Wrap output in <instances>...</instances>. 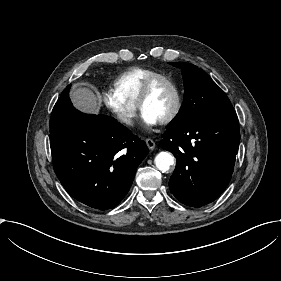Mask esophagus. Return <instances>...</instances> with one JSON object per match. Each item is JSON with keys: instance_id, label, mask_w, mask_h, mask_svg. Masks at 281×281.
I'll list each match as a JSON object with an SVG mask.
<instances>
[{"instance_id": "obj_1", "label": "esophagus", "mask_w": 281, "mask_h": 281, "mask_svg": "<svg viewBox=\"0 0 281 281\" xmlns=\"http://www.w3.org/2000/svg\"><path fill=\"white\" fill-rule=\"evenodd\" d=\"M145 142H146V145L148 146V148H149L150 150H154V149H155L156 144H155V142H154L152 139L147 138V139L145 140Z\"/></svg>"}]
</instances>
